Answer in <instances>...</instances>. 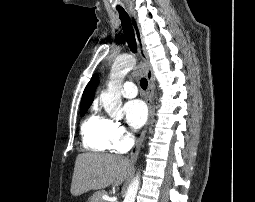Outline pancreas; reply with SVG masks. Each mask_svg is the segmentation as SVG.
I'll use <instances>...</instances> for the list:
<instances>
[{
  "instance_id": "1",
  "label": "pancreas",
  "mask_w": 255,
  "mask_h": 202,
  "mask_svg": "<svg viewBox=\"0 0 255 202\" xmlns=\"http://www.w3.org/2000/svg\"><path fill=\"white\" fill-rule=\"evenodd\" d=\"M107 194L105 190L96 191L90 198V202H104L102 196Z\"/></svg>"
}]
</instances>
